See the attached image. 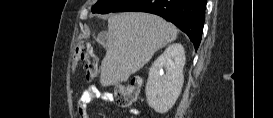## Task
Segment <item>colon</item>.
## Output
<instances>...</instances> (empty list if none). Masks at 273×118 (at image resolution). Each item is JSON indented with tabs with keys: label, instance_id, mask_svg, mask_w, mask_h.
<instances>
[{
	"label": "colon",
	"instance_id": "5ec220e1",
	"mask_svg": "<svg viewBox=\"0 0 273 118\" xmlns=\"http://www.w3.org/2000/svg\"><path fill=\"white\" fill-rule=\"evenodd\" d=\"M81 59L84 62L86 77L88 80H95L99 74L98 61L93 52L92 45L88 41L78 43L74 55L73 65ZM140 80L131 83L118 84L115 88V97L119 105L123 107L131 106L139 96Z\"/></svg>",
	"mask_w": 273,
	"mask_h": 118
}]
</instances>
